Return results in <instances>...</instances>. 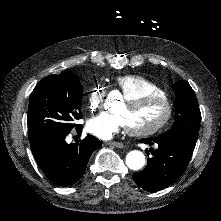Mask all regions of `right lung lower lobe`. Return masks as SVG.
<instances>
[{
	"mask_svg": "<svg viewBox=\"0 0 221 221\" xmlns=\"http://www.w3.org/2000/svg\"><path fill=\"white\" fill-rule=\"evenodd\" d=\"M76 130L81 131V125ZM68 134L46 136L30 142L41 170L49 180L63 187L81 179L92 152L102 146L101 141L92 135L67 144L65 138Z\"/></svg>",
	"mask_w": 221,
	"mask_h": 221,
	"instance_id": "1",
	"label": "right lung lower lobe"
}]
</instances>
